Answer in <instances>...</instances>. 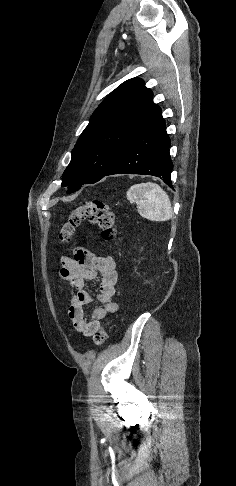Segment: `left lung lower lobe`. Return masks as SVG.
Returning <instances> with one entry per match:
<instances>
[{
	"mask_svg": "<svg viewBox=\"0 0 236 486\" xmlns=\"http://www.w3.org/2000/svg\"><path fill=\"white\" fill-rule=\"evenodd\" d=\"M170 139L162 115L130 144L126 152L105 174H143L161 178L172 187L173 164L169 154Z\"/></svg>",
	"mask_w": 236,
	"mask_h": 486,
	"instance_id": "left-lung-lower-lobe-1",
	"label": "left lung lower lobe"
}]
</instances>
